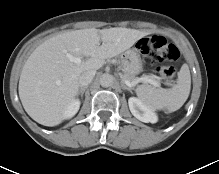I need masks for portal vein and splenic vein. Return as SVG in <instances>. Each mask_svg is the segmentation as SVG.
Segmentation results:
<instances>
[{"instance_id":"1","label":"portal vein and splenic vein","mask_w":219,"mask_h":174,"mask_svg":"<svg viewBox=\"0 0 219 174\" xmlns=\"http://www.w3.org/2000/svg\"><path fill=\"white\" fill-rule=\"evenodd\" d=\"M67 57L69 58L70 61H73L75 63H80L81 62V58L82 57H74L71 54H67ZM138 82H146V83H150L154 86H158L159 84L157 82H155L154 80H152L151 78H149L148 76L145 77H141L137 80ZM127 85H130L131 83L129 81L125 82Z\"/></svg>"}]
</instances>
